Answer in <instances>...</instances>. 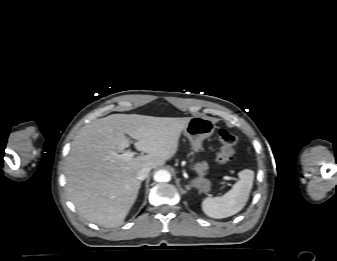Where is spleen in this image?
Returning <instances> with one entry per match:
<instances>
[{
	"mask_svg": "<svg viewBox=\"0 0 337 261\" xmlns=\"http://www.w3.org/2000/svg\"><path fill=\"white\" fill-rule=\"evenodd\" d=\"M239 181L221 197L206 198L202 210L211 218L220 219L238 213L246 205L254 180V171L245 169L238 173Z\"/></svg>",
	"mask_w": 337,
	"mask_h": 261,
	"instance_id": "1",
	"label": "spleen"
}]
</instances>
